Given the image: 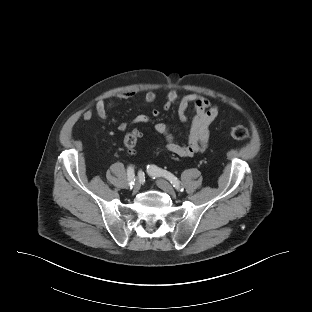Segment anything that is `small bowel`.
I'll list each match as a JSON object with an SVG mask.
<instances>
[{
  "instance_id": "obj_1",
  "label": "small bowel",
  "mask_w": 312,
  "mask_h": 312,
  "mask_svg": "<svg viewBox=\"0 0 312 312\" xmlns=\"http://www.w3.org/2000/svg\"><path fill=\"white\" fill-rule=\"evenodd\" d=\"M133 92L121 93L116 96L117 100H127L134 97ZM156 100V94L153 91H148L144 95V101L146 103H152ZM178 103L177 114L181 122L188 121L187 112L190 107H193L195 115L190 121L189 133L186 144H182L174 138L170 132L168 126L165 123H157L155 125V131L164 136L166 139V150L179 157H192L197 153L203 152L209 143L210 132L209 128L213 121L219 114V108L212 104L206 97L189 93L181 98L175 90H170L165 97L163 109L165 111L171 109V107ZM113 105V101L105 102L98 101L95 105V113L101 119H107L108 110ZM94 111L87 109L82 113L84 120H90L93 117ZM160 111L156 108L152 109L151 115L158 117ZM149 121V116L146 114L137 115L132 124H145ZM129 128V123L121 122L118 126L119 131L124 132Z\"/></svg>"
}]
</instances>
